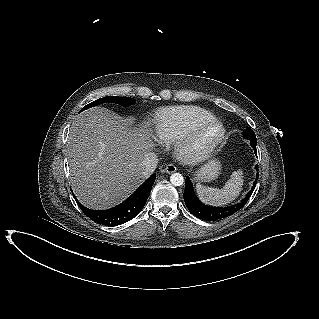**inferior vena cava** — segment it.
I'll return each mask as SVG.
<instances>
[{
  "mask_svg": "<svg viewBox=\"0 0 319 319\" xmlns=\"http://www.w3.org/2000/svg\"><path fill=\"white\" fill-rule=\"evenodd\" d=\"M158 161V157L155 153H148L141 163L143 173L152 174L157 167Z\"/></svg>",
  "mask_w": 319,
  "mask_h": 319,
  "instance_id": "inferior-vena-cava-1",
  "label": "inferior vena cava"
}]
</instances>
